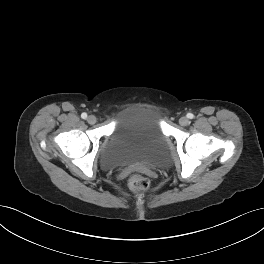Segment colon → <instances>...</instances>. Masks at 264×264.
<instances>
[{
    "label": "colon",
    "mask_w": 264,
    "mask_h": 264,
    "mask_svg": "<svg viewBox=\"0 0 264 264\" xmlns=\"http://www.w3.org/2000/svg\"><path fill=\"white\" fill-rule=\"evenodd\" d=\"M129 183L133 189L140 191H145L150 186L149 180L138 173H134L131 175Z\"/></svg>",
    "instance_id": "colon-1"
}]
</instances>
